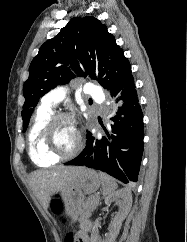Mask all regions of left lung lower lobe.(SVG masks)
<instances>
[{
	"mask_svg": "<svg viewBox=\"0 0 187 242\" xmlns=\"http://www.w3.org/2000/svg\"><path fill=\"white\" fill-rule=\"evenodd\" d=\"M119 104L109 130L100 139L87 133L86 147L65 165L101 170L123 183L137 182L143 154L144 124L134 78L129 75L111 91Z\"/></svg>",
	"mask_w": 187,
	"mask_h": 242,
	"instance_id": "left-lung-lower-lobe-1",
	"label": "left lung lower lobe"
}]
</instances>
